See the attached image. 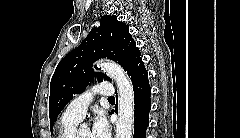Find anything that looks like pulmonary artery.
Returning a JSON list of instances; mask_svg holds the SVG:
<instances>
[{
  "label": "pulmonary artery",
  "instance_id": "obj_1",
  "mask_svg": "<svg viewBox=\"0 0 240 138\" xmlns=\"http://www.w3.org/2000/svg\"><path fill=\"white\" fill-rule=\"evenodd\" d=\"M94 93L102 96V97H112L114 94V90L112 84L109 82H101L99 86L94 90ZM93 100V93L87 91L80 96L73 99L64 112L65 116L74 117L77 119H82L87 111L89 104Z\"/></svg>",
  "mask_w": 240,
  "mask_h": 138
}]
</instances>
